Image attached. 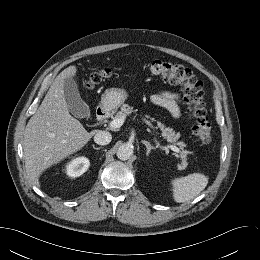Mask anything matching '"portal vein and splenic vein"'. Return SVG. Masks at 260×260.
<instances>
[{"mask_svg": "<svg viewBox=\"0 0 260 260\" xmlns=\"http://www.w3.org/2000/svg\"><path fill=\"white\" fill-rule=\"evenodd\" d=\"M124 120H125V117H124V116L119 117V118H115L114 120H112V121L109 123V126H110V128H112V129L120 128V127L123 125ZM147 123H149V122H147ZM168 148H170V149H171L172 151H174V152H177V153L180 152L179 148L176 147V146H174V145H168Z\"/></svg>", "mask_w": 260, "mask_h": 260, "instance_id": "portal-vein-and-splenic-vein-1", "label": "portal vein and splenic vein"}]
</instances>
